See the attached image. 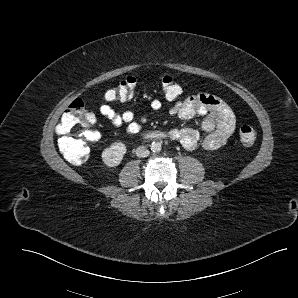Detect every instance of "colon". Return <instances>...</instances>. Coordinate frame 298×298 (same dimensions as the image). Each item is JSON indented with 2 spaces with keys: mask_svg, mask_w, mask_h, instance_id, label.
I'll return each mask as SVG.
<instances>
[{
  "mask_svg": "<svg viewBox=\"0 0 298 298\" xmlns=\"http://www.w3.org/2000/svg\"><path fill=\"white\" fill-rule=\"evenodd\" d=\"M137 80L128 76L107 91L105 97L111 101L129 100L136 88ZM161 90L168 100L177 99L182 88L171 76L160 80ZM95 118L87 111L81 99H75L65 110L56 132L59 136L58 145L67 159L76 165L85 163L89 157V144L96 143L100 136L94 129ZM240 142L245 147H252L256 141V132L250 125H242L239 131Z\"/></svg>",
  "mask_w": 298,
  "mask_h": 298,
  "instance_id": "1",
  "label": "colon"
}]
</instances>
